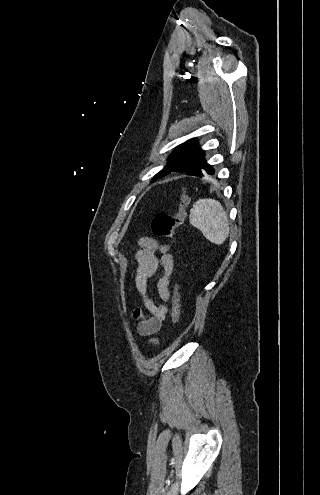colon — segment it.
I'll return each instance as SVG.
<instances>
[{
	"mask_svg": "<svg viewBox=\"0 0 320 495\" xmlns=\"http://www.w3.org/2000/svg\"><path fill=\"white\" fill-rule=\"evenodd\" d=\"M188 206V195L185 191L182 192L180 197V203L177 210L174 213H157L152 221V231L155 235L160 237H166L174 242H177L175 231L182 223L185 211ZM181 301L179 286L175 283L173 288L172 297V321L174 325H177L180 320Z\"/></svg>",
	"mask_w": 320,
	"mask_h": 495,
	"instance_id": "1",
	"label": "colon"
}]
</instances>
